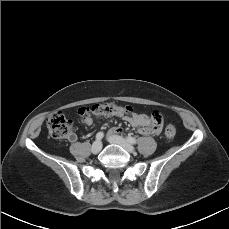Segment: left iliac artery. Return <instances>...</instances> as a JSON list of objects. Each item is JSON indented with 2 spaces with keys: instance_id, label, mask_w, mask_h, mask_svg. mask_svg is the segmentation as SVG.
<instances>
[{
  "instance_id": "obj_1",
  "label": "left iliac artery",
  "mask_w": 229,
  "mask_h": 229,
  "mask_svg": "<svg viewBox=\"0 0 229 229\" xmlns=\"http://www.w3.org/2000/svg\"><path fill=\"white\" fill-rule=\"evenodd\" d=\"M126 139L131 144H137V140L131 136L126 137Z\"/></svg>"
}]
</instances>
